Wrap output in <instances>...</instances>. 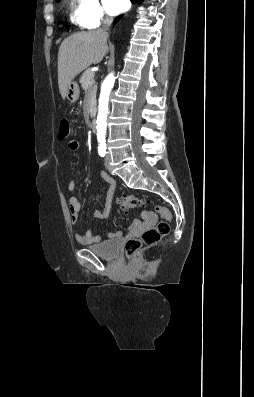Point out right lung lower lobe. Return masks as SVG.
<instances>
[{"mask_svg": "<svg viewBox=\"0 0 254 397\" xmlns=\"http://www.w3.org/2000/svg\"><path fill=\"white\" fill-rule=\"evenodd\" d=\"M131 1H132V2H136V3H141L142 0H131ZM121 17H122V15L118 16V17L115 19L114 24H116V23L120 20Z\"/></svg>", "mask_w": 254, "mask_h": 397, "instance_id": "obj_1", "label": "right lung lower lobe"}]
</instances>
